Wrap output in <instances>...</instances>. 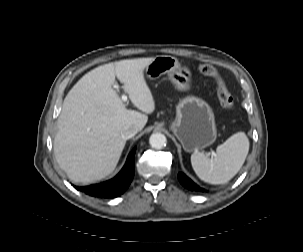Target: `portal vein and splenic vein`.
I'll return each mask as SVG.
<instances>
[{
  "label": "portal vein and splenic vein",
  "instance_id": "obj_1",
  "mask_svg": "<svg viewBox=\"0 0 303 252\" xmlns=\"http://www.w3.org/2000/svg\"><path fill=\"white\" fill-rule=\"evenodd\" d=\"M115 88H118V86H115ZM127 99H128L127 95L123 94V95H122V100H123L124 102H126Z\"/></svg>",
  "mask_w": 303,
  "mask_h": 252
}]
</instances>
